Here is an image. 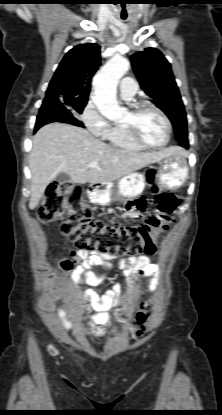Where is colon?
I'll list each match as a JSON object with an SVG mask.
<instances>
[{
    "label": "colon",
    "instance_id": "obj_1",
    "mask_svg": "<svg viewBox=\"0 0 222 415\" xmlns=\"http://www.w3.org/2000/svg\"><path fill=\"white\" fill-rule=\"evenodd\" d=\"M147 177L154 182V172ZM157 204L155 212L149 214L142 224L112 226L93 220L90 208L83 201V190L69 182H55L49 185L41 205L38 219L43 223L60 221V228L80 250L100 255L139 256L152 254L160 235L167 230L178 206V199L171 193L153 187ZM138 208L145 210L147 201L141 200ZM65 269L72 266L70 261L63 264ZM149 319V304L142 303L137 313L135 334L143 335V327Z\"/></svg>",
    "mask_w": 222,
    "mask_h": 415
}]
</instances>
